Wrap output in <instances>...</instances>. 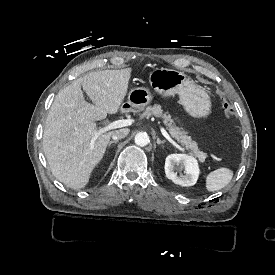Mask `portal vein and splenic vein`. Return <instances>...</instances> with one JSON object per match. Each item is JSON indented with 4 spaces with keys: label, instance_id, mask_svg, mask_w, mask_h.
I'll list each match as a JSON object with an SVG mask.
<instances>
[{
    "label": "portal vein and splenic vein",
    "instance_id": "18ae733b",
    "mask_svg": "<svg viewBox=\"0 0 275 275\" xmlns=\"http://www.w3.org/2000/svg\"><path fill=\"white\" fill-rule=\"evenodd\" d=\"M134 122L133 119H121V120H116L111 122L108 126L103 127L101 129H99L98 131H96L94 133V136L91 139V143H94L97 138L102 135L103 133L109 131V130H113L116 128H122V127H126V126H130L132 125V123ZM161 133L162 135L170 142L172 143L176 148H178L179 150L183 151L184 148H182L179 144H177L167 133V131L164 128H161Z\"/></svg>",
    "mask_w": 275,
    "mask_h": 275
}]
</instances>
